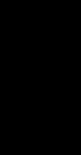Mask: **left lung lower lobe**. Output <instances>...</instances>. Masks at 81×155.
<instances>
[{
	"label": "left lung lower lobe",
	"mask_w": 81,
	"mask_h": 155,
	"mask_svg": "<svg viewBox=\"0 0 81 155\" xmlns=\"http://www.w3.org/2000/svg\"><path fill=\"white\" fill-rule=\"evenodd\" d=\"M56 118L67 132L71 133L70 130H79L81 123L79 115L64 109L56 112Z\"/></svg>",
	"instance_id": "obj_1"
}]
</instances>
